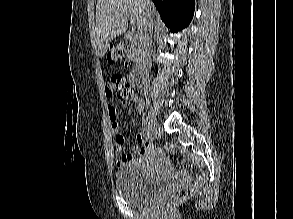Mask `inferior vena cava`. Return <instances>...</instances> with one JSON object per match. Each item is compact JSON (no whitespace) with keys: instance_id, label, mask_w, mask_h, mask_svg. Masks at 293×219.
<instances>
[{"instance_id":"1","label":"inferior vena cava","mask_w":293,"mask_h":219,"mask_svg":"<svg viewBox=\"0 0 293 219\" xmlns=\"http://www.w3.org/2000/svg\"><path fill=\"white\" fill-rule=\"evenodd\" d=\"M145 6L149 5V0L142 1ZM154 20L152 14L147 10L145 26L140 34V44H141V56H140V66L138 71L142 76L147 77L149 68L151 66L150 60V50L152 45V33H153Z\"/></svg>"}]
</instances>
